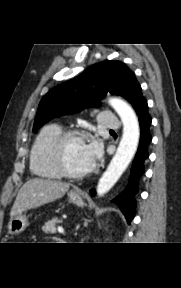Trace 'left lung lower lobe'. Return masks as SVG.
I'll list each match as a JSON object with an SVG mask.
<instances>
[{
  "label": "left lung lower lobe",
  "mask_w": 181,
  "mask_h": 288,
  "mask_svg": "<svg viewBox=\"0 0 181 288\" xmlns=\"http://www.w3.org/2000/svg\"><path fill=\"white\" fill-rule=\"evenodd\" d=\"M131 104L139 117L141 130L140 142L131 168L129 183L124 191L112 200L119 206L128 223H130L135 216L136 201L134 196L138 192V179L144 173V161L149 156L148 145L152 140L149 131L152 119L148 114L147 101L142 96L141 89L136 93ZM91 193L95 195L94 190H91Z\"/></svg>",
  "instance_id": "left-lung-lower-lobe-1"
}]
</instances>
